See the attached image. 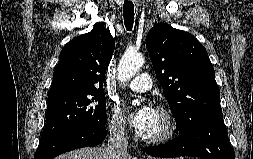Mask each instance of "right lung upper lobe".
<instances>
[{"label":"right lung upper lobe","mask_w":253,"mask_h":159,"mask_svg":"<svg viewBox=\"0 0 253 159\" xmlns=\"http://www.w3.org/2000/svg\"><path fill=\"white\" fill-rule=\"evenodd\" d=\"M114 48L115 41L104 26L68 42L60 53L48 98L103 90Z\"/></svg>","instance_id":"obj_1"}]
</instances>
